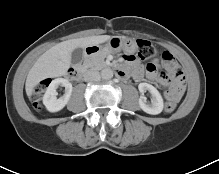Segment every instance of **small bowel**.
I'll return each instance as SVG.
<instances>
[{"mask_svg": "<svg viewBox=\"0 0 219 174\" xmlns=\"http://www.w3.org/2000/svg\"><path fill=\"white\" fill-rule=\"evenodd\" d=\"M126 70L130 71L135 78L142 76V68L137 62L134 55L128 54L124 58ZM163 66L170 73V78L161 77L157 74V65L151 64V69L147 68V76L150 80L163 85H170V89L163 92V99L166 102L180 103L183 100V92L185 89V78L179 65L175 61L170 52L164 53ZM181 70L180 75H176V71Z\"/></svg>", "mask_w": 219, "mask_h": 174, "instance_id": "obj_1", "label": "small bowel"}]
</instances>
